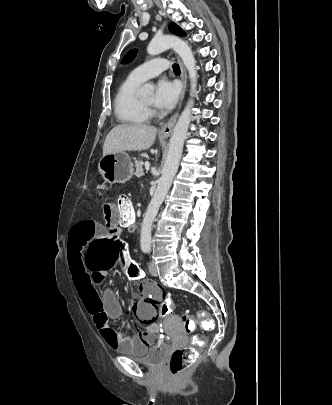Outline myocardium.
Segmentation results:
<instances>
[{"mask_svg": "<svg viewBox=\"0 0 332 405\" xmlns=\"http://www.w3.org/2000/svg\"><path fill=\"white\" fill-rule=\"evenodd\" d=\"M144 108L147 110L148 113H152L153 112V107L151 104H147L145 103L143 100H141Z\"/></svg>", "mask_w": 332, "mask_h": 405, "instance_id": "f54148a6", "label": "myocardium"}]
</instances>
